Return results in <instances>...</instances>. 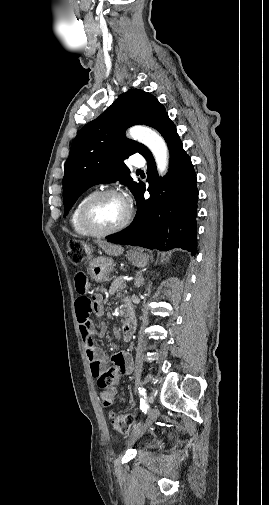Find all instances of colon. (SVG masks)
Wrapping results in <instances>:
<instances>
[{
  "instance_id": "5ec220e1",
  "label": "colon",
  "mask_w": 269,
  "mask_h": 505,
  "mask_svg": "<svg viewBox=\"0 0 269 505\" xmlns=\"http://www.w3.org/2000/svg\"><path fill=\"white\" fill-rule=\"evenodd\" d=\"M90 253L91 250L89 246L81 244L77 241H73L69 245L68 256L70 262L74 265H79L86 261L89 258ZM97 379L98 386L102 391V397L104 399L105 405L108 406L114 397L115 389L120 380V377L115 369L110 368L100 373L97 376ZM110 418L112 426L116 431L122 434L128 433L133 422L132 415L112 412Z\"/></svg>"
}]
</instances>
